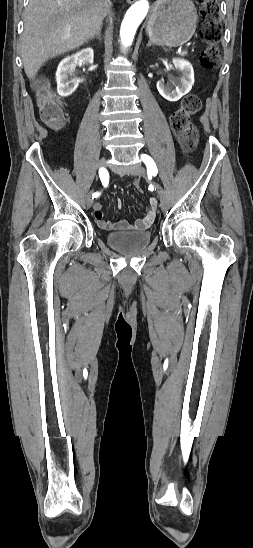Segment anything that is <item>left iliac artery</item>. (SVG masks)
Masks as SVG:
<instances>
[{
	"mask_svg": "<svg viewBox=\"0 0 253 548\" xmlns=\"http://www.w3.org/2000/svg\"><path fill=\"white\" fill-rule=\"evenodd\" d=\"M141 159L143 160V162L145 163V165L147 167L148 174L156 176L158 170H157V167H156V164H155L154 160L147 154H143L141 156Z\"/></svg>",
	"mask_w": 253,
	"mask_h": 548,
	"instance_id": "1",
	"label": "left iliac artery"
}]
</instances>
